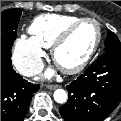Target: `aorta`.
Segmentation results:
<instances>
[{
  "instance_id": "aorta-1",
  "label": "aorta",
  "mask_w": 121,
  "mask_h": 121,
  "mask_svg": "<svg viewBox=\"0 0 121 121\" xmlns=\"http://www.w3.org/2000/svg\"><path fill=\"white\" fill-rule=\"evenodd\" d=\"M53 96H54V100L57 103H60V104L65 103L67 101V98H68V95H67L66 91L63 90V89H57V90H55Z\"/></svg>"
}]
</instances>
